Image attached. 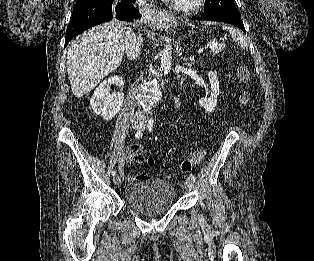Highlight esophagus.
Here are the masks:
<instances>
[{
  "mask_svg": "<svg viewBox=\"0 0 314 261\" xmlns=\"http://www.w3.org/2000/svg\"><path fill=\"white\" fill-rule=\"evenodd\" d=\"M152 13L155 14V15H157V16H160V17H161L162 14H163V12L158 11V10H153Z\"/></svg>",
  "mask_w": 314,
  "mask_h": 261,
  "instance_id": "esophagus-1",
  "label": "esophagus"
}]
</instances>
